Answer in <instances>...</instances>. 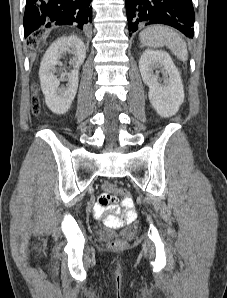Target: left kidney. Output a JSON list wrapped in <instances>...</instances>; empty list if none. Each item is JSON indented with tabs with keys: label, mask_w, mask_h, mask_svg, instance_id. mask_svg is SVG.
Returning <instances> with one entry per match:
<instances>
[{
	"label": "left kidney",
	"mask_w": 227,
	"mask_h": 298,
	"mask_svg": "<svg viewBox=\"0 0 227 298\" xmlns=\"http://www.w3.org/2000/svg\"><path fill=\"white\" fill-rule=\"evenodd\" d=\"M162 67L163 84L153 70ZM143 82L149 87V100L156 112L162 117L175 115L184 101V90L180 73L170 55L162 50H145L139 60Z\"/></svg>",
	"instance_id": "1"
}]
</instances>
